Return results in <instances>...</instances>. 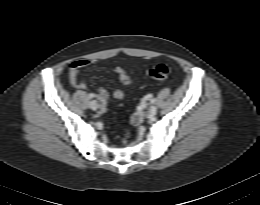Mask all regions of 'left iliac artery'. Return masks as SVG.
Returning <instances> with one entry per match:
<instances>
[{
    "label": "left iliac artery",
    "instance_id": "44dca946",
    "mask_svg": "<svg viewBox=\"0 0 260 205\" xmlns=\"http://www.w3.org/2000/svg\"><path fill=\"white\" fill-rule=\"evenodd\" d=\"M150 101H151V103L153 104V103L156 102V98H152Z\"/></svg>",
    "mask_w": 260,
    "mask_h": 205
}]
</instances>
